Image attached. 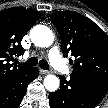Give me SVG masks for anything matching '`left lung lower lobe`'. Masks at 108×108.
<instances>
[{
  "label": "left lung lower lobe",
  "instance_id": "left-lung-lower-lobe-1",
  "mask_svg": "<svg viewBox=\"0 0 108 108\" xmlns=\"http://www.w3.org/2000/svg\"><path fill=\"white\" fill-rule=\"evenodd\" d=\"M61 87L49 95L50 108H95L108 91V79L71 74L59 76Z\"/></svg>",
  "mask_w": 108,
  "mask_h": 108
}]
</instances>
